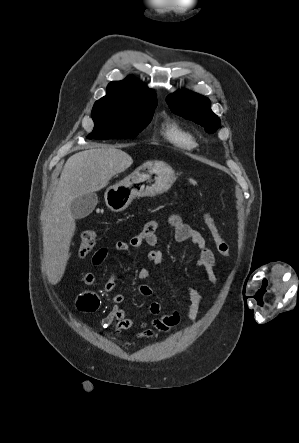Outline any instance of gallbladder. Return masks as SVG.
Returning <instances> with one entry per match:
<instances>
[{"label": "gallbladder", "mask_w": 299, "mask_h": 443, "mask_svg": "<svg viewBox=\"0 0 299 443\" xmlns=\"http://www.w3.org/2000/svg\"><path fill=\"white\" fill-rule=\"evenodd\" d=\"M98 203L96 193H88L75 198L70 205L72 216L75 219H82L90 215Z\"/></svg>", "instance_id": "obj_1"}]
</instances>
